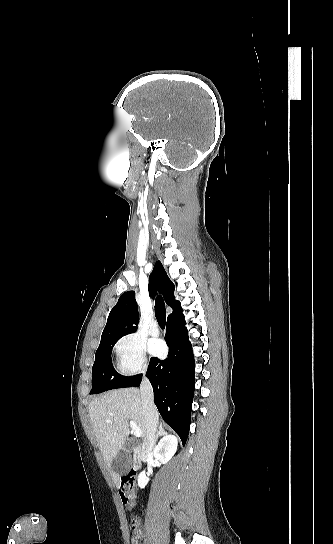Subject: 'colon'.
I'll return each mask as SVG.
<instances>
[{
    "label": "colon",
    "instance_id": "1",
    "mask_svg": "<svg viewBox=\"0 0 333 544\" xmlns=\"http://www.w3.org/2000/svg\"><path fill=\"white\" fill-rule=\"evenodd\" d=\"M120 496L124 505L133 509L136 505L137 491L136 481L132 472L122 478ZM142 537V529L137 518L132 519V539L131 544H140Z\"/></svg>",
    "mask_w": 333,
    "mask_h": 544
}]
</instances>
